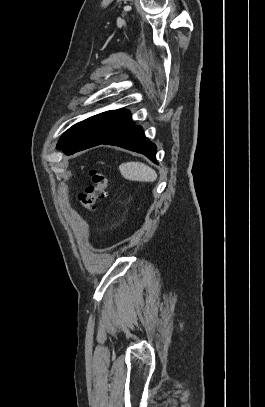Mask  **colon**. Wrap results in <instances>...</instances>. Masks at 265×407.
<instances>
[{"label":"colon","instance_id":"obj_1","mask_svg":"<svg viewBox=\"0 0 265 407\" xmlns=\"http://www.w3.org/2000/svg\"><path fill=\"white\" fill-rule=\"evenodd\" d=\"M90 184L80 195V202L85 211L91 214L96 207V203L106 197L108 179L104 173L92 168L89 170Z\"/></svg>","mask_w":265,"mask_h":407}]
</instances>
